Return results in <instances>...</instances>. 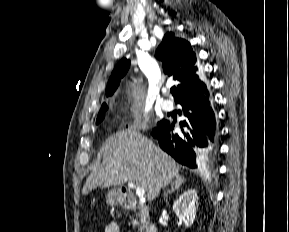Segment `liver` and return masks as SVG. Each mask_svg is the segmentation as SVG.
Returning a JSON list of instances; mask_svg holds the SVG:
<instances>
[{
  "instance_id": "6515ba94",
  "label": "liver",
  "mask_w": 289,
  "mask_h": 232,
  "mask_svg": "<svg viewBox=\"0 0 289 232\" xmlns=\"http://www.w3.org/2000/svg\"><path fill=\"white\" fill-rule=\"evenodd\" d=\"M101 164L88 176L82 194L97 187L108 188L133 182L145 189L148 201L158 197L161 188L179 173L175 160L151 140L128 129L114 133L102 145Z\"/></svg>"
}]
</instances>
